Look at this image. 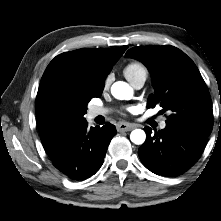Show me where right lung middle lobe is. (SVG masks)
Returning <instances> with one entry per match:
<instances>
[{"instance_id": "obj_1", "label": "right lung middle lobe", "mask_w": 221, "mask_h": 221, "mask_svg": "<svg viewBox=\"0 0 221 221\" xmlns=\"http://www.w3.org/2000/svg\"><path fill=\"white\" fill-rule=\"evenodd\" d=\"M103 89H92L88 74L77 71L49 84L39 97V105L46 121L54 129L71 133L85 120L87 104L92 98H99Z\"/></svg>"}]
</instances>
